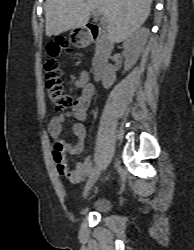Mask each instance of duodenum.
Instances as JSON below:
<instances>
[{"label":"duodenum","mask_w":194,"mask_h":250,"mask_svg":"<svg viewBox=\"0 0 194 250\" xmlns=\"http://www.w3.org/2000/svg\"><path fill=\"white\" fill-rule=\"evenodd\" d=\"M83 38L91 43L96 44L97 51L93 59L92 68L93 76L98 79L102 76L107 65L110 54L113 50V45L103 28L95 23H88L85 26V34Z\"/></svg>","instance_id":"duodenum-1"}]
</instances>
